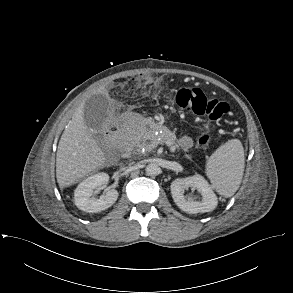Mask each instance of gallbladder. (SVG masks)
Here are the masks:
<instances>
[{"mask_svg":"<svg viewBox=\"0 0 293 293\" xmlns=\"http://www.w3.org/2000/svg\"><path fill=\"white\" fill-rule=\"evenodd\" d=\"M109 107V98L104 94H95L89 97L83 109L85 125L94 131H102L103 125L108 119Z\"/></svg>","mask_w":293,"mask_h":293,"instance_id":"gallbladder-1","label":"gallbladder"}]
</instances>
